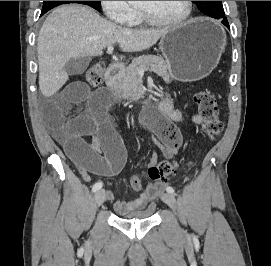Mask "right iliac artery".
Listing matches in <instances>:
<instances>
[{
	"instance_id": "1",
	"label": "right iliac artery",
	"mask_w": 271,
	"mask_h": 266,
	"mask_svg": "<svg viewBox=\"0 0 271 266\" xmlns=\"http://www.w3.org/2000/svg\"><path fill=\"white\" fill-rule=\"evenodd\" d=\"M102 186H103V183L99 181V182H97V183H95V184L93 185L92 191H93V192H96V191H98L99 189H101Z\"/></svg>"
}]
</instances>
